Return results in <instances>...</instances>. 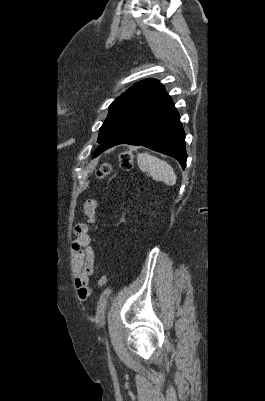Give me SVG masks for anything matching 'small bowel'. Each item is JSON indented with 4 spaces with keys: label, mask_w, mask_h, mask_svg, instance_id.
I'll list each match as a JSON object with an SVG mask.
<instances>
[{
    "label": "small bowel",
    "mask_w": 265,
    "mask_h": 401,
    "mask_svg": "<svg viewBox=\"0 0 265 401\" xmlns=\"http://www.w3.org/2000/svg\"><path fill=\"white\" fill-rule=\"evenodd\" d=\"M86 221L75 226L76 239L72 244L75 285L81 300L87 299L92 289L89 286L90 276L94 272V251L91 247L90 232L97 220L98 203L87 199L83 204Z\"/></svg>",
    "instance_id": "obj_1"
}]
</instances>
